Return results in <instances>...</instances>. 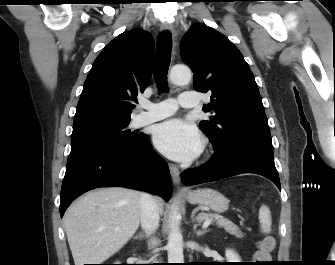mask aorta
<instances>
[{"mask_svg":"<svg viewBox=\"0 0 335 265\" xmlns=\"http://www.w3.org/2000/svg\"><path fill=\"white\" fill-rule=\"evenodd\" d=\"M191 70L187 66L176 65L171 68L170 80L175 85H185L191 81ZM177 206L172 207L168 233V263H184L183 237L180 231Z\"/></svg>","mask_w":335,"mask_h":265,"instance_id":"obj_1","label":"aorta"}]
</instances>
